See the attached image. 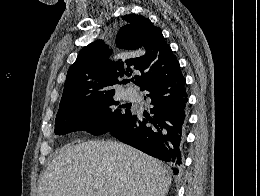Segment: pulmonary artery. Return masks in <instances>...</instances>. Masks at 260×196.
<instances>
[{
	"mask_svg": "<svg viewBox=\"0 0 260 196\" xmlns=\"http://www.w3.org/2000/svg\"><path fill=\"white\" fill-rule=\"evenodd\" d=\"M122 96L125 100L131 101V102H137L139 100L138 93L134 88L128 87L126 88Z\"/></svg>",
	"mask_w": 260,
	"mask_h": 196,
	"instance_id": "obj_1",
	"label": "pulmonary artery"
}]
</instances>
